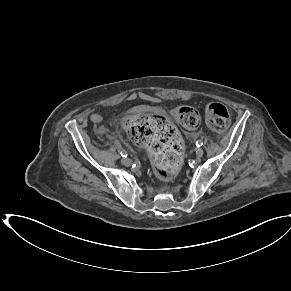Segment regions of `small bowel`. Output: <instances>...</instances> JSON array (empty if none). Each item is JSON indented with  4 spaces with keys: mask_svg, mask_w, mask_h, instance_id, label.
I'll use <instances>...</instances> for the list:
<instances>
[{
    "mask_svg": "<svg viewBox=\"0 0 291 291\" xmlns=\"http://www.w3.org/2000/svg\"><path fill=\"white\" fill-rule=\"evenodd\" d=\"M138 96H140V94L138 93ZM90 120L96 124L100 123L102 121V117L100 114L98 113H93L90 115Z\"/></svg>",
    "mask_w": 291,
    "mask_h": 291,
    "instance_id": "obj_1",
    "label": "small bowel"
}]
</instances>
